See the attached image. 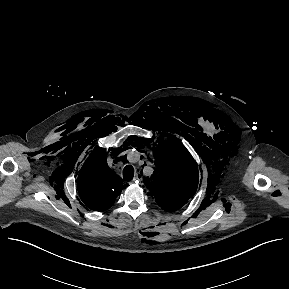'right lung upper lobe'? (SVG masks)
I'll return each mask as SVG.
<instances>
[{"label":"right lung upper lobe","instance_id":"cb5924a9","mask_svg":"<svg viewBox=\"0 0 289 289\" xmlns=\"http://www.w3.org/2000/svg\"><path fill=\"white\" fill-rule=\"evenodd\" d=\"M122 179L106 166V154L100 149L91 154L78 176L79 195L87 210L105 211L113 204L123 187Z\"/></svg>","mask_w":289,"mask_h":289}]
</instances>
